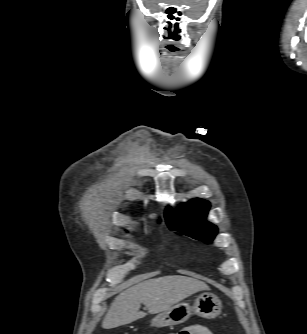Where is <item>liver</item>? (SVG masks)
I'll return each mask as SVG.
<instances>
[{
    "mask_svg": "<svg viewBox=\"0 0 307 334\" xmlns=\"http://www.w3.org/2000/svg\"><path fill=\"white\" fill-rule=\"evenodd\" d=\"M209 289L202 281L180 275L143 281L121 292L114 299L103 319L102 327L111 329L145 317L147 314L140 311L141 304L147 307L148 313L156 314L198 291Z\"/></svg>",
    "mask_w": 307,
    "mask_h": 334,
    "instance_id": "liver-1",
    "label": "liver"
}]
</instances>
